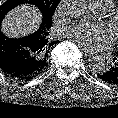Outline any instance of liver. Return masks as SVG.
<instances>
[{"label": "liver", "mask_w": 118, "mask_h": 118, "mask_svg": "<svg viewBox=\"0 0 118 118\" xmlns=\"http://www.w3.org/2000/svg\"><path fill=\"white\" fill-rule=\"evenodd\" d=\"M40 19L41 16L37 8L30 5H22L6 16L2 29L10 37L23 36L37 29Z\"/></svg>", "instance_id": "liver-1"}]
</instances>
